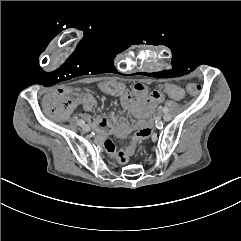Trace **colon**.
<instances>
[{"label": "colon", "instance_id": "obj_1", "mask_svg": "<svg viewBox=\"0 0 241 241\" xmlns=\"http://www.w3.org/2000/svg\"><path fill=\"white\" fill-rule=\"evenodd\" d=\"M123 82L120 79H103L101 81L102 92L109 93L111 97H114L116 93H121ZM158 91L162 95L175 96L177 94V89L172 83H165L159 86ZM187 91L196 95L199 93L200 88L198 85L190 84L187 86Z\"/></svg>", "mask_w": 241, "mask_h": 241}]
</instances>
